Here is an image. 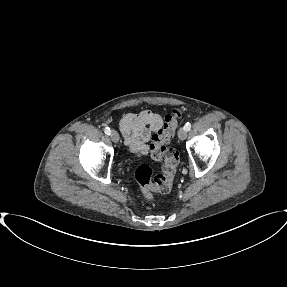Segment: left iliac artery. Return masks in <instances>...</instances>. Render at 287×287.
I'll return each mask as SVG.
<instances>
[{"label": "left iliac artery", "instance_id": "obj_1", "mask_svg": "<svg viewBox=\"0 0 287 287\" xmlns=\"http://www.w3.org/2000/svg\"><path fill=\"white\" fill-rule=\"evenodd\" d=\"M184 128H185L186 131H189L190 128H191L190 122H187V123L185 124Z\"/></svg>", "mask_w": 287, "mask_h": 287}]
</instances>
